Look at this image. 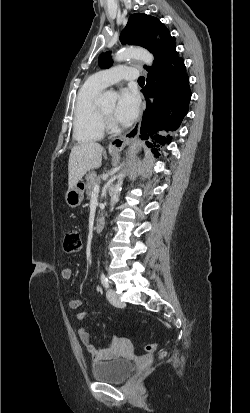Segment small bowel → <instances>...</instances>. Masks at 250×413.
Returning a JSON list of instances; mask_svg holds the SVG:
<instances>
[{
    "label": "small bowel",
    "mask_w": 250,
    "mask_h": 413,
    "mask_svg": "<svg viewBox=\"0 0 250 413\" xmlns=\"http://www.w3.org/2000/svg\"><path fill=\"white\" fill-rule=\"evenodd\" d=\"M73 273H74V270L71 267H68V268L63 269L61 274L64 279L69 280L72 278ZM82 305H83V301L81 299H71L69 301V306L75 310L80 309ZM86 316H87V313L84 311H81L77 313L76 318L79 321H81L85 319ZM77 334H78V337L81 343L85 346L88 353L91 355V357L95 361L112 360L116 358L120 353V350L122 347V340L117 336H111L110 345L107 348L99 349L91 342L90 334L86 328L80 327L77 330Z\"/></svg>",
    "instance_id": "1"
}]
</instances>
